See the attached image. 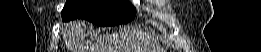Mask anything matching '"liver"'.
Listing matches in <instances>:
<instances>
[{"label": "liver", "instance_id": "liver-1", "mask_svg": "<svg viewBox=\"0 0 261 52\" xmlns=\"http://www.w3.org/2000/svg\"><path fill=\"white\" fill-rule=\"evenodd\" d=\"M68 37L71 39L72 45L79 52H105L110 50L111 36L103 35L94 41L86 42V25L84 22L74 21L68 25L66 30Z\"/></svg>", "mask_w": 261, "mask_h": 52}]
</instances>
